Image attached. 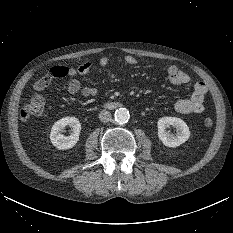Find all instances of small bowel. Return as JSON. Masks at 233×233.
<instances>
[{"instance_id": "c3829d8e", "label": "small bowel", "mask_w": 233, "mask_h": 233, "mask_svg": "<svg viewBox=\"0 0 233 233\" xmlns=\"http://www.w3.org/2000/svg\"><path fill=\"white\" fill-rule=\"evenodd\" d=\"M111 61L109 56H102L97 62L88 60L77 68L54 66L43 77L34 84L36 91H42L48 87L56 78L70 77L72 78L67 85V90L70 94L80 93L84 97L95 98L98 95L97 89L93 87H82L80 81L75 78L77 74L85 75L89 73L97 64L99 67H106ZM125 62L129 65H136L138 60L133 55H127ZM169 81L175 86H184L191 82V77L184 71L180 70L175 65H170L167 68ZM207 92V87L203 82H195L193 84V92L188 98L177 100L174 104L176 112L181 114L202 113L205 109L204 98Z\"/></svg>"}]
</instances>
